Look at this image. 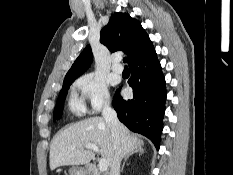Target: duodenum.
I'll use <instances>...</instances> for the list:
<instances>
[{
  "label": "duodenum",
  "mask_w": 233,
  "mask_h": 175,
  "mask_svg": "<svg viewBox=\"0 0 233 175\" xmlns=\"http://www.w3.org/2000/svg\"><path fill=\"white\" fill-rule=\"evenodd\" d=\"M87 173H88V174H92V173H94V170H93V169H89V170L87 171Z\"/></svg>",
  "instance_id": "duodenum-1"
}]
</instances>
